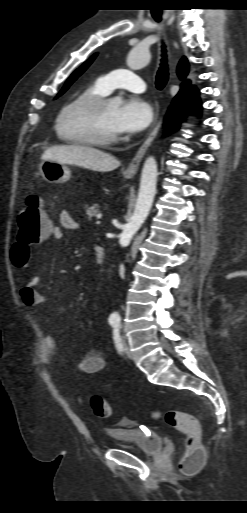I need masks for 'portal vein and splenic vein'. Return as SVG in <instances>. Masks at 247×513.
<instances>
[{
	"label": "portal vein and splenic vein",
	"instance_id": "obj_1",
	"mask_svg": "<svg viewBox=\"0 0 247 513\" xmlns=\"http://www.w3.org/2000/svg\"><path fill=\"white\" fill-rule=\"evenodd\" d=\"M96 224H100V221H99V220H97V221H96Z\"/></svg>",
	"mask_w": 247,
	"mask_h": 513
}]
</instances>
